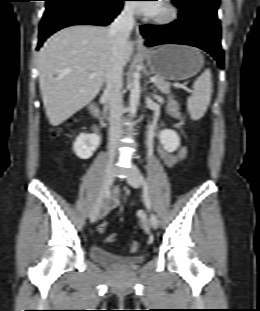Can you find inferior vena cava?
I'll return each instance as SVG.
<instances>
[{"instance_id":"inferior-vena-cava-1","label":"inferior vena cava","mask_w":260,"mask_h":311,"mask_svg":"<svg viewBox=\"0 0 260 311\" xmlns=\"http://www.w3.org/2000/svg\"><path fill=\"white\" fill-rule=\"evenodd\" d=\"M134 11L131 8H124L114 19L109 27V35L114 38L113 66L106 77V89L104 97L109 106V150L115 151L122 135L121 117L122 106V74H123V53L134 25Z\"/></svg>"}]
</instances>
